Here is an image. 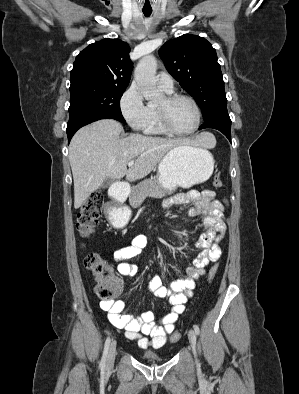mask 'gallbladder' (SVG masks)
<instances>
[{"label":"gallbladder","instance_id":"1","mask_svg":"<svg viewBox=\"0 0 299 394\" xmlns=\"http://www.w3.org/2000/svg\"><path fill=\"white\" fill-rule=\"evenodd\" d=\"M112 183H113V179H111V178H106V179L103 181V183H102V185H101V188H103V189L109 188V187L111 186Z\"/></svg>","mask_w":299,"mask_h":394}]
</instances>
